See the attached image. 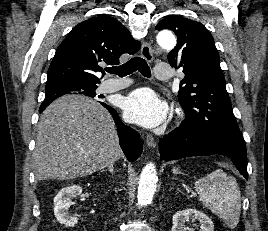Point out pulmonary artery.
Masks as SVG:
<instances>
[{
  "mask_svg": "<svg viewBox=\"0 0 268 231\" xmlns=\"http://www.w3.org/2000/svg\"><path fill=\"white\" fill-rule=\"evenodd\" d=\"M154 78L158 81H169L171 78V67L167 63H161L154 68ZM130 84L129 79H111L102 84V90L105 93L119 91Z\"/></svg>",
  "mask_w": 268,
  "mask_h": 231,
  "instance_id": "obj_1",
  "label": "pulmonary artery"
}]
</instances>
